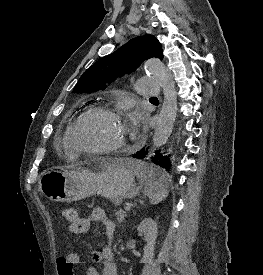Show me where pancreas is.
Segmentation results:
<instances>
[{
	"mask_svg": "<svg viewBox=\"0 0 263 275\" xmlns=\"http://www.w3.org/2000/svg\"><path fill=\"white\" fill-rule=\"evenodd\" d=\"M115 215L117 216L118 222H122L126 216V212L123 210L115 211Z\"/></svg>",
	"mask_w": 263,
	"mask_h": 275,
	"instance_id": "1",
	"label": "pancreas"
}]
</instances>
